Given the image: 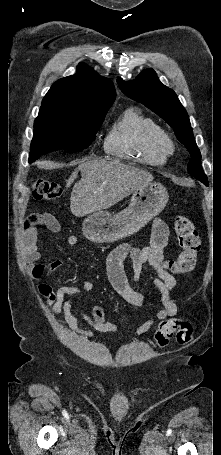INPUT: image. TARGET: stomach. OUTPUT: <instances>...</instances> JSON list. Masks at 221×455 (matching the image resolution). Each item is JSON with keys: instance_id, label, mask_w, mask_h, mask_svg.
<instances>
[{"instance_id": "obj_1", "label": "stomach", "mask_w": 221, "mask_h": 455, "mask_svg": "<svg viewBox=\"0 0 221 455\" xmlns=\"http://www.w3.org/2000/svg\"><path fill=\"white\" fill-rule=\"evenodd\" d=\"M169 195L160 183L149 182L136 189L129 206L112 215L97 210L82 223L84 236L93 243H111L132 236L166 206Z\"/></svg>"}]
</instances>
